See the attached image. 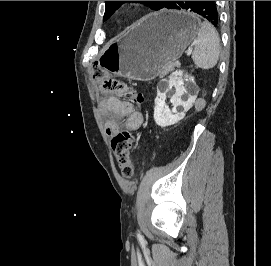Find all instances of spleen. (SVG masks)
Here are the masks:
<instances>
[{
  "label": "spleen",
  "mask_w": 271,
  "mask_h": 266,
  "mask_svg": "<svg viewBox=\"0 0 271 266\" xmlns=\"http://www.w3.org/2000/svg\"><path fill=\"white\" fill-rule=\"evenodd\" d=\"M220 54V39L214 27L207 21L200 24L192 54L194 64L208 70L216 66Z\"/></svg>",
  "instance_id": "spleen-1"
}]
</instances>
